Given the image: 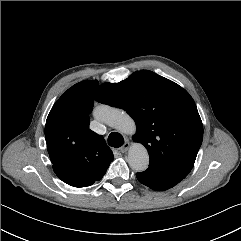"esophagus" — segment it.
<instances>
[{"label": "esophagus", "instance_id": "obj_1", "mask_svg": "<svg viewBox=\"0 0 241 241\" xmlns=\"http://www.w3.org/2000/svg\"><path fill=\"white\" fill-rule=\"evenodd\" d=\"M129 147H130V143L128 141H126L124 143V145L121 148H119L118 150L121 153H125L129 149Z\"/></svg>", "mask_w": 241, "mask_h": 241}]
</instances>
